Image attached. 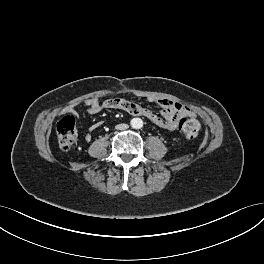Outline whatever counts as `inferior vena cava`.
Returning a JSON list of instances; mask_svg holds the SVG:
<instances>
[{
	"label": "inferior vena cava",
	"mask_w": 264,
	"mask_h": 264,
	"mask_svg": "<svg viewBox=\"0 0 264 264\" xmlns=\"http://www.w3.org/2000/svg\"><path fill=\"white\" fill-rule=\"evenodd\" d=\"M115 128L117 129V130H126V129H128L129 128V126H128V124H118V125H116L115 126Z\"/></svg>",
	"instance_id": "inferior-vena-cava-1"
}]
</instances>
